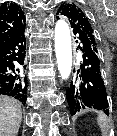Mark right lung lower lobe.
I'll return each mask as SVG.
<instances>
[{"mask_svg":"<svg viewBox=\"0 0 117 136\" xmlns=\"http://www.w3.org/2000/svg\"><path fill=\"white\" fill-rule=\"evenodd\" d=\"M24 30L25 19L21 26L0 46V95L15 97L23 104L27 100Z\"/></svg>","mask_w":117,"mask_h":136,"instance_id":"right-lung-lower-lobe-1","label":"right lung lower lobe"}]
</instances>
